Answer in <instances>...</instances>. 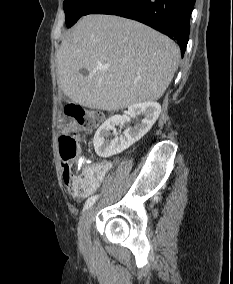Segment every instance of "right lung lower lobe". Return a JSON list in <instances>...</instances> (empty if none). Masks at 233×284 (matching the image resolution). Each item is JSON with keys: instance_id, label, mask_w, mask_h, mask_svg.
Segmentation results:
<instances>
[{"instance_id": "1", "label": "right lung lower lobe", "mask_w": 233, "mask_h": 284, "mask_svg": "<svg viewBox=\"0 0 233 284\" xmlns=\"http://www.w3.org/2000/svg\"><path fill=\"white\" fill-rule=\"evenodd\" d=\"M195 0H107L92 14H110L137 20L177 41L185 53Z\"/></svg>"}]
</instances>
